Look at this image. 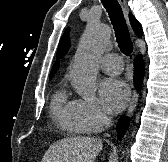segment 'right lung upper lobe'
<instances>
[{"instance_id":"obj_1","label":"right lung upper lobe","mask_w":168,"mask_h":162,"mask_svg":"<svg viewBox=\"0 0 168 162\" xmlns=\"http://www.w3.org/2000/svg\"><path fill=\"white\" fill-rule=\"evenodd\" d=\"M129 19H130V23L132 25L134 32L136 33V35L141 37L142 36V28H141L140 23L136 20V18L131 13L129 14ZM68 31H69V29H67L64 32V34L59 42L58 51H57V55H56V63L53 65V68H52V71L50 74V78H52L53 75L56 73V71L59 67V60L64 57V55L66 54V52L69 49L70 42H69V37H68Z\"/></svg>"}]
</instances>
